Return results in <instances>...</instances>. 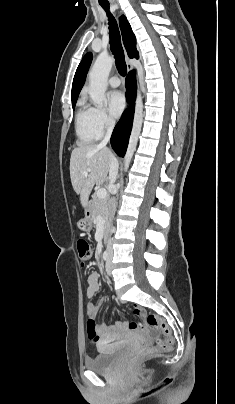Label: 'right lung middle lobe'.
<instances>
[{"label": "right lung middle lobe", "mask_w": 235, "mask_h": 404, "mask_svg": "<svg viewBox=\"0 0 235 404\" xmlns=\"http://www.w3.org/2000/svg\"><path fill=\"white\" fill-rule=\"evenodd\" d=\"M75 103H76V102H72L73 109H74V107H75Z\"/></svg>", "instance_id": "dd1d6c3e"}]
</instances>
